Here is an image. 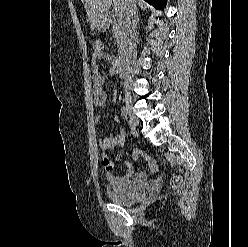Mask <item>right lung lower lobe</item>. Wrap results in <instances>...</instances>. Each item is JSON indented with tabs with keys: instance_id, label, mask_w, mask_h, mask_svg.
Segmentation results:
<instances>
[{
	"instance_id": "right-lung-lower-lobe-1",
	"label": "right lung lower lobe",
	"mask_w": 248,
	"mask_h": 247,
	"mask_svg": "<svg viewBox=\"0 0 248 247\" xmlns=\"http://www.w3.org/2000/svg\"><path fill=\"white\" fill-rule=\"evenodd\" d=\"M145 1L151 5H154V6L161 8V9H163V7L166 3V0H145Z\"/></svg>"
}]
</instances>
